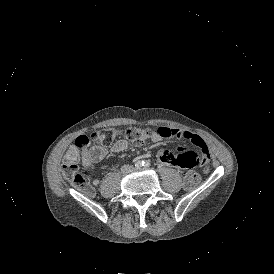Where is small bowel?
Here are the masks:
<instances>
[{
    "label": "small bowel",
    "mask_w": 274,
    "mask_h": 274,
    "mask_svg": "<svg viewBox=\"0 0 274 274\" xmlns=\"http://www.w3.org/2000/svg\"><path fill=\"white\" fill-rule=\"evenodd\" d=\"M175 137L185 139L197 146L201 152L195 148L177 146L173 149L162 150L160 153L161 162L167 167H178L179 172L194 171L199 163H201L202 171L208 172L213 168V163L210 162L211 155L205 141L198 135L187 130H177L168 127H159L151 134V140L154 143H160L165 138ZM88 145V144H87ZM82 146L81 161L87 168H92L97 162L103 160L107 154V149L102 145H93L88 147ZM129 143L125 139L118 138L111 147V151L115 153L127 150ZM94 185L98 184V180L93 181Z\"/></svg>",
    "instance_id": "c3829d8e"
}]
</instances>
